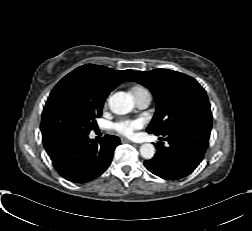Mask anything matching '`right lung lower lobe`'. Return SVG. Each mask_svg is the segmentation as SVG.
Segmentation results:
<instances>
[{"label": "right lung lower lobe", "mask_w": 252, "mask_h": 231, "mask_svg": "<svg viewBox=\"0 0 252 231\" xmlns=\"http://www.w3.org/2000/svg\"><path fill=\"white\" fill-rule=\"evenodd\" d=\"M119 144L117 136L106 135L98 145L86 135L62 142L48 151V155L62 177L72 182L86 183L109 167Z\"/></svg>", "instance_id": "right-lung-lower-lobe-1"}]
</instances>
